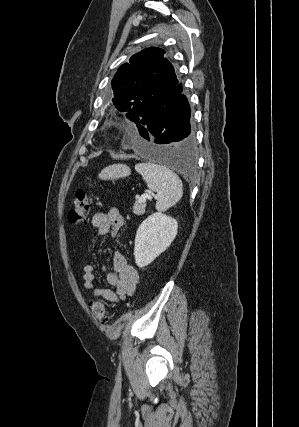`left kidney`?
Masks as SVG:
<instances>
[{
	"mask_svg": "<svg viewBox=\"0 0 299 427\" xmlns=\"http://www.w3.org/2000/svg\"><path fill=\"white\" fill-rule=\"evenodd\" d=\"M177 229V221L161 212L146 218L135 237L134 256L137 266L143 268L163 253L175 239Z\"/></svg>",
	"mask_w": 299,
	"mask_h": 427,
	"instance_id": "obj_1",
	"label": "left kidney"
}]
</instances>
